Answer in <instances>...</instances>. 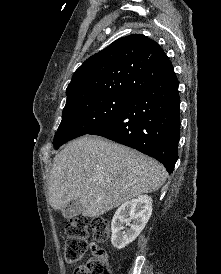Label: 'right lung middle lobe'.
<instances>
[{
	"instance_id": "dd1d6c3e",
	"label": "right lung middle lobe",
	"mask_w": 221,
	"mask_h": 274,
	"mask_svg": "<svg viewBox=\"0 0 221 274\" xmlns=\"http://www.w3.org/2000/svg\"><path fill=\"white\" fill-rule=\"evenodd\" d=\"M132 97L103 95L67 102L54 137L58 149L64 143L89 134L115 116Z\"/></svg>"
}]
</instances>
